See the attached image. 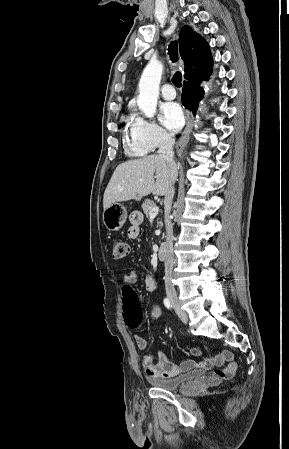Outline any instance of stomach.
<instances>
[{
    "label": "stomach",
    "instance_id": "1",
    "mask_svg": "<svg viewBox=\"0 0 289 449\" xmlns=\"http://www.w3.org/2000/svg\"><path fill=\"white\" fill-rule=\"evenodd\" d=\"M127 219V210L120 203H113L103 211V223L110 231H118Z\"/></svg>",
    "mask_w": 289,
    "mask_h": 449
}]
</instances>
